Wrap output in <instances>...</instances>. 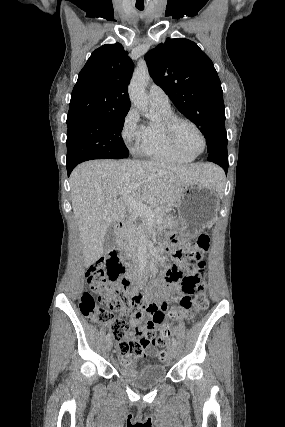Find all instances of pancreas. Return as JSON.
I'll list each match as a JSON object with an SVG mask.
<instances>
[{"label":"pancreas","instance_id":"pancreas-1","mask_svg":"<svg viewBox=\"0 0 285 427\" xmlns=\"http://www.w3.org/2000/svg\"><path fill=\"white\" fill-rule=\"evenodd\" d=\"M135 218H136V215L133 216V220H135ZM156 218H157L158 228H161L162 226H165V225L174 224L173 217L166 215L164 211H159L157 213ZM139 229H140V226L133 223L130 224L128 227H126L120 236L119 246L124 247V246H127L129 243L133 242L137 237Z\"/></svg>","mask_w":285,"mask_h":427}]
</instances>
